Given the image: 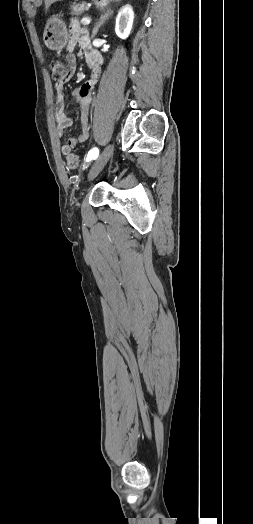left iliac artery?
Instances as JSON below:
<instances>
[{
  "mask_svg": "<svg viewBox=\"0 0 253 524\" xmlns=\"http://www.w3.org/2000/svg\"><path fill=\"white\" fill-rule=\"evenodd\" d=\"M98 154H99V150L97 147L93 148L92 150L89 151L88 153V156H87V160L90 161V160H94L98 157Z\"/></svg>",
  "mask_w": 253,
  "mask_h": 524,
  "instance_id": "obj_1",
  "label": "left iliac artery"
}]
</instances>
